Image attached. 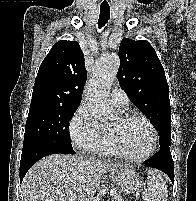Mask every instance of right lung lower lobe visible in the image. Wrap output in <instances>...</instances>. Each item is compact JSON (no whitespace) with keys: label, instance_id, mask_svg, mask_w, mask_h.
Masks as SVG:
<instances>
[{"label":"right lung lower lobe","instance_id":"obj_1","mask_svg":"<svg viewBox=\"0 0 196 201\" xmlns=\"http://www.w3.org/2000/svg\"><path fill=\"white\" fill-rule=\"evenodd\" d=\"M57 153L74 154L75 152L72 148H65L55 144H37L22 150L20 161V182L34 163L44 156Z\"/></svg>","mask_w":196,"mask_h":201}]
</instances>
